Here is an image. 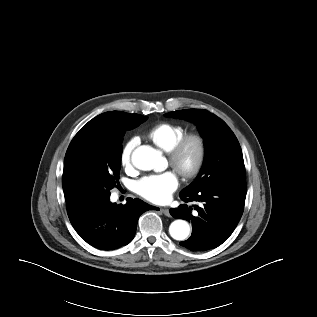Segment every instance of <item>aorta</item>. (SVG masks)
Here are the masks:
<instances>
[{
  "instance_id": "1",
  "label": "aorta",
  "mask_w": 317,
  "mask_h": 317,
  "mask_svg": "<svg viewBox=\"0 0 317 317\" xmlns=\"http://www.w3.org/2000/svg\"><path fill=\"white\" fill-rule=\"evenodd\" d=\"M131 159L133 165L143 171H162L166 168V159L161 151L147 145L137 147L132 152ZM169 233L173 239L183 241L190 234V226L187 221L177 219L170 224Z\"/></svg>"
}]
</instances>
